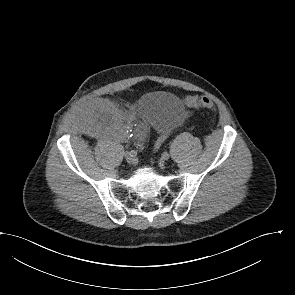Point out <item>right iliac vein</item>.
Returning <instances> with one entry per match:
<instances>
[{
	"label": "right iliac vein",
	"instance_id": "obj_1",
	"mask_svg": "<svg viewBox=\"0 0 295 295\" xmlns=\"http://www.w3.org/2000/svg\"><path fill=\"white\" fill-rule=\"evenodd\" d=\"M126 161L130 164L135 163V156H131L129 153H125Z\"/></svg>",
	"mask_w": 295,
	"mask_h": 295
}]
</instances>
